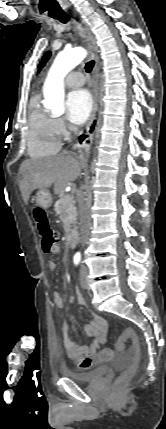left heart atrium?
<instances>
[{"label":"left heart atrium","mask_w":166,"mask_h":429,"mask_svg":"<svg viewBox=\"0 0 166 429\" xmlns=\"http://www.w3.org/2000/svg\"><path fill=\"white\" fill-rule=\"evenodd\" d=\"M92 97L86 89H76L67 95V119L74 125L84 123L92 110Z\"/></svg>","instance_id":"left-heart-atrium-1"}]
</instances>
